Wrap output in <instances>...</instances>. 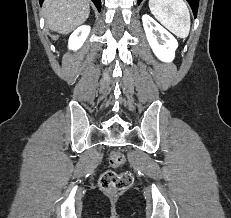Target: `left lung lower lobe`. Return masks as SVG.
Wrapping results in <instances>:
<instances>
[{
	"mask_svg": "<svg viewBox=\"0 0 231 218\" xmlns=\"http://www.w3.org/2000/svg\"><path fill=\"white\" fill-rule=\"evenodd\" d=\"M142 0H138V4H140ZM188 3L190 4L193 14L196 17L197 15V10H198V4H199V0H187Z\"/></svg>",
	"mask_w": 231,
	"mask_h": 218,
	"instance_id": "left-lung-lower-lobe-1",
	"label": "left lung lower lobe"
}]
</instances>
